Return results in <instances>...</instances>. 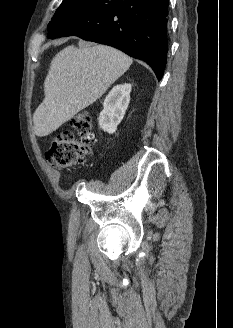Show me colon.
<instances>
[{
	"mask_svg": "<svg viewBox=\"0 0 233 328\" xmlns=\"http://www.w3.org/2000/svg\"><path fill=\"white\" fill-rule=\"evenodd\" d=\"M72 131L57 133L45 153L47 162L57 168H66L82 162L89 157L95 145L92 132V118L82 112L72 121Z\"/></svg>",
	"mask_w": 233,
	"mask_h": 328,
	"instance_id": "colon-1",
	"label": "colon"
}]
</instances>
